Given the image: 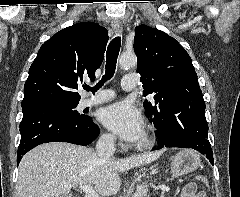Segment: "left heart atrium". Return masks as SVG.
<instances>
[{"label": "left heart atrium", "mask_w": 240, "mask_h": 197, "mask_svg": "<svg viewBox=\"0 0 240 197\" xmlns=\"http://www.w3.org/2000/svg\"><path fill=\"white\" fill-rule=\"evenodd\" d=\"M100 120L105 127L126 141L135 142L143 136V116L128 101L117 102L104 108Z\"/></svg>", "instance_id": "left-heart-atrium-1"}]
</instances>
